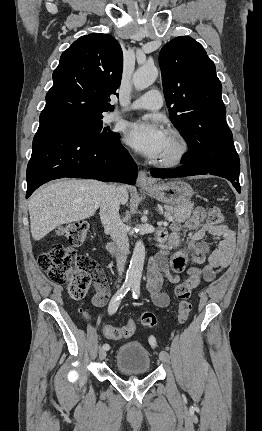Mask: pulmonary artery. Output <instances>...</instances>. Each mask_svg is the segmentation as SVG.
I'll use <instances>...</instances> for the list:
<instances>
[{
    "instance_id": "e3ab8cb5",
    "label": "pulmonary artery",
    "mask_w": 262,
    "mask_h": 431,
    "mask_svg": "<svg viewBox=\"0 0 262 431\" xmlns=\"http://www.w3.org/2000/svg\"><path fill=\"white\" fill-rule=\"evenodd\" d=\"M163 105V99L159 91L150 90L138 99H136L127 109L124 111L132 110H157ZM119 113L114 114V116Z\"/></svg>"
}]
</instances>
